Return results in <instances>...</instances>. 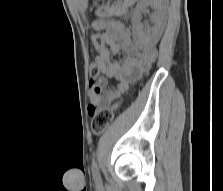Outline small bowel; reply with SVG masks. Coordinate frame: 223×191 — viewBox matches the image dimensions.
Instances as JSON below:
<instances>
[{"instance_id":"obj_1","label":"small bowel","mask_w":223,"mask_h":191,"mask_svg":"<svg viewBox=\"0 0 223 191\" xmlns=\"http://www.w3.org/2000/svg\"><path fill=\"white\" fill-rule=\"evenodd\" d=\"M115 12L114 8L98 12L100 18L93 24L94 29L103 30L102 38L108 50L98 54L95 59L102 75L91 79L90 109L103 107L123 94L128 90L130 81L150 70L157 60L156 48L140 47L122 23L108 20L109 15ZM119 52H123L125 58L121 63L113 62L111 56ZM106 77L117 82L115 89H105Z\"/></svg>"}]
</instances>
